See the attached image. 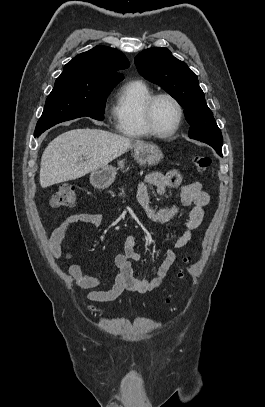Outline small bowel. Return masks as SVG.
<instances>
[{"instance_id": "c3829d8e", "label": "small bowel", "mask_w": 265, "mask_h": 407, "mask_svg": "<svg viewBox=\"0 0 265 407\" xmlns=\"http://www.w3.org/2000/svg\"><path fill=\"white\" fill-rule=\"evenodd\" d=\"M181 184L182 177L176 170H171L165 174L152 172L145 176L138 186L137 201L150 220L157 223H166L178 214V210L176 207H165L158 210L152 208L148 188L153 186L159 194H164L168 188L179 187ZM180 197L181 203L189 207V211L186 217L185 229L182 235L174 241L175 249L183 248L190 242L193 233L203 221L204 207L210 201V196L203 190L202 184L198 181L183 185ZM79 223L97 228L102 223V216L96 213H76L68 216L52 232L49 246L55 259L64 257L68 261L67 271L70 278L79 287L89 290L87 297L94 303L106 304L113 302L124 291L150 293L157 290L163 284L169 269L176 261L175 251L168 250L155 275L150 279H140L132 265L133 262L141 260L137 251V240L134 236L129 235L124 239L123 252L115 259L117 273L113 285L108 289H103L102 286L106 282V277L84 273L80 265L72 262L71 252L61 248L67 233ZM88 310L91 313H101L103 311L98 305H90Z\"/></svg>"}]
</instances>
